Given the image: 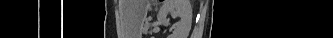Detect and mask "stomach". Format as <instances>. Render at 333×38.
<instances>
[{"label":"stomach","mask_w":333,"mask_h":38,"mask_svg":"<svg viewBox=\"0 0 333 38\" xmlns=\"http://www.w3.org/2000/svg\"><path fill=\"white\" fill-rule=\"evenodd\" d=\"M145 14H146V12H145V10H143V11H142V14H141V21H142V22H143L144 19H145Z\"/></svg>","instance_id":"1"}]
</instances>
